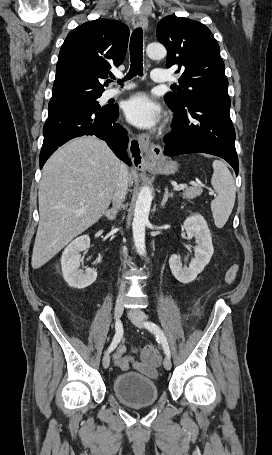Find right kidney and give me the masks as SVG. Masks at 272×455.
Here are the masks:
<instances>
[{
  "instance_id": "ca27d5eb",
  "label": "right kidney",
  "mask_w": 272,
  "mask_h": 455,
  "mask_svg": "<svg viewBox=\"0 0 272 455\" xmlns=\"http://www.w3.org/2000/svg\"><path fill=\"white\" fill-rule=\"evenodd\" d=\"M90 246V237L83 235L73 240L63 251L61 266L63 277L69 286L83 289L95 282L97 272L93 268H87L85 273L79 270L81 251Z\"/></svg>"
}]
</instances>
